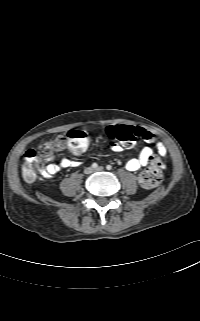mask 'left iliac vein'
Listing matches in <instances>:
<instances>
[{
	"label": "left iliac vein",
	"mask_w": 200,
	"mask_h": 321,
	"mask_svg": "<svg viewBox=\"0 0 200 321\" xmlns=\"http://www.w3.org/2000/svg\"><path fill=\"white\" fill-rule=\"evenodd\" d=\"M102 170H103L102 166H99L98 168L95 169V171H102Z\"/></svg>",
	"instance_id": "left-iliac-vein-1"
}]
</instances>
